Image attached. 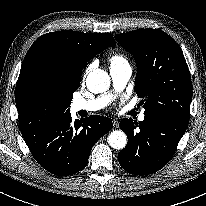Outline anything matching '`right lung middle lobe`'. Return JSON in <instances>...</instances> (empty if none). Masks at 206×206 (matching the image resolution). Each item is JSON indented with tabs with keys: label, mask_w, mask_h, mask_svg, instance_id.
I'll list each match as a JSON object with an SVG mask.
<instances>
[{
	"label": "right lung middle lobe",
	"mask_w": 206,
	"mask_h": 206,
	"mask_svg": "<svg viewBox=\"0 0 206 206\" xmlns=\"http://www.w3.org/2000/svg\"><path fill=\"white\" fill-rule=\"evenodd\" d=\"M58 56L50 51L39 54L22 86L20 129L56 121L70 114L73 92L79 87Z\"/></svg>",
	"instance_id": "dd1d6c3e"
}]
</instances>
